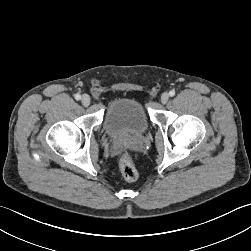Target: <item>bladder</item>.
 <instances>
[{
    "label": "bladder",
    "mask_w": 251,
    "mask_h": 251,
    "mask_svg": "<svg viewBox=\"0 0 251 251\" xmlns=\"http://www.w3.org/2000/svg\"><path fill=\"white\" fill-rule=\"evenodd\" d=\"M148 126L146 111L136 98L118 97L106 106L103 127L111 137L139 136L147 131Z\"/></svg>",
    "instance_id": "obj_1"
}]
</instances>
